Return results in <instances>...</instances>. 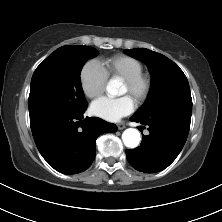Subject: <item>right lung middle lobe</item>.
<instances>
[{"instance_id":"dd1d6c3e","label":"right lung middle lobe","mask_w":222,"mask_h":222,"mask_svg":"<svg viewBox=\"0 0 222 222\" xmlns=\"http://www.w3.org/2000/svg\"><path fill=\"white\" fill-rule=\"evenodd\" d=\"M98 51L89 46H63L35 70L28 101L30 117L44 112H79L87 108L80 72Z\"/></svg>"}]
</instances>
